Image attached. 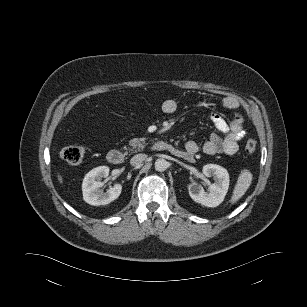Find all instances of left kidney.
Returning <instances> with one entry per match:
<instances>
[{
    "label": "left kidney",
    "mask_w": 307,
    "mask_h": 307,
    "mask_svg": "<svg viewBox=\"0 0 307 307\" xmlns=\"http://www.w3.org/2000/svg\"><path fill=\"white\" fill-rule=\"evenodd\" d=\"M202 171L206 177H214L215 182L209 186L208 193L197 184H189V195L195 202L201 205L217 207L223 202L228 191L229 174L225 168L216 164L204 165Z\"/></svg>",
    "instance_id": "5707ae66"
}]
</instances>
